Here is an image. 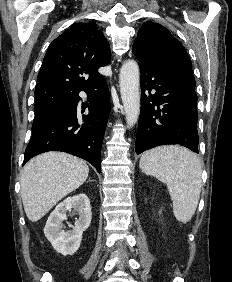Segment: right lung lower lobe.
<instances>
[{
	"label": "right lung lower lobe",
	"mask_w": 232,
	"mask_h": 282,
	"mask_svg": "<svg viewBox=\"0 0 232 282\" xmlns=\"http://www.w3.org/2000/svg\"><path fill=\"white\" fill-rule=\"evenodd\" d=\"M81 91L89 96V114L83 115V123L79 124L76 116L79 91L57 111L33 122L23 164L40 153L62 151L85 159L101 172V147L110 111L109 91L104 78ZM85 108L82 104V112Z\"/></svg>",
	"instance_id": "obj_1"
}]
</instances>
